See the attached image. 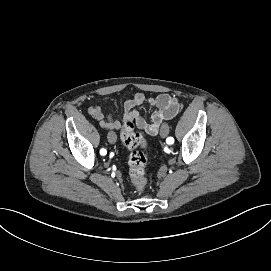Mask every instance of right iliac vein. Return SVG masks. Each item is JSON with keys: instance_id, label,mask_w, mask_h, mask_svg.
Returning a JSON list of instances; mask_svg holds the SVG:
<instances>
[{"instance_id": "63e3f726", "label": "right iliac vein", "mask_w": 271, "mask_h": 271, "mask_svg": "<svg viewBox=\"0 0 271 271\" xmlns=\"http://www.w3.org/2000/svg\"><path fill=\"white\" fill-rule=\"evenodd\" d=\"M107 138H108V141L112 144H114L116 142V139H117V135L115 132L113 131H110L107 135Z\"/></svg>"}]
</instances>
